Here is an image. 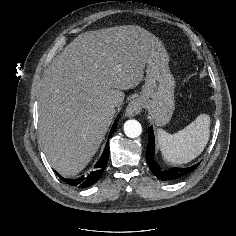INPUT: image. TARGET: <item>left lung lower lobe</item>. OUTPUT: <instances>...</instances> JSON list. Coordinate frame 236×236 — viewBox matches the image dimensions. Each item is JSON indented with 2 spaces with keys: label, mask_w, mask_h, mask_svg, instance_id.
I'll return each instance as SVG.
<instances>
[{
  "label": "left lung lower lobe",
  "mask_w": 236,
  "mask_h": 236,
  "mask_svg": "<svg viewBox=\"0 0 236 236\" xmlns=\"http://www.w3.org/2000/svg\"><path fill=\"white\" fill-rule=\"evenodd\" d=\"M148 147L146 150V160L147 163L153 172V174L162 181H176L185 175L189 174L190 172L194 171L198 165H193L187 168H171V169H163L161 168L157 162L154 159V153H155V139H154V133L153 128H149L148 133Z\"/></svg>",
  "instance_id": "1"
}]
</instances>
